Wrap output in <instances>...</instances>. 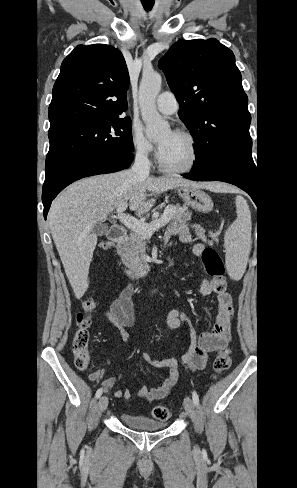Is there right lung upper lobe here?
<instances>
[{
    "label": "right lung upper lobe",
    "instance_id": "right-lung-upper-lobe-1",
    "mask_svg": "<svg viewBox=\"0 0 297 488\" xmlns=\"http://www.w3.org/2000/svg\"><path fill=\"white\" fill-rule=\"evenodd\" d=\"M129 75L122 53L109 45H78L62 62L49 105V133L120 117L127 110Z\"/></svg>",
    "mask_w": 297,
    "mask_h": 488
}]
</instances>
